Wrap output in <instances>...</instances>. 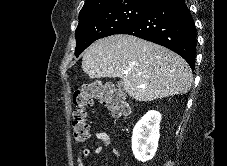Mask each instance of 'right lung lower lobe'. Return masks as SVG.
I'll return each mask as SVG.
<instances>
[{
    "label": "right lung lower lobe",
    "instance_id": "right-lung-lower-lobe-1",
    "mask_svg": "<svg viewBox=\"0 0 227 166\" xmlns=\"http://www.w3.org/2000/svg\"><path fill=\"white\" fill-rule=\"evenodd\" d=\"M118 34L162 45L195 67L196 29L184 0H160L142 18Z\"/></svg>",
    "mask_w": 227,
    "mask_h": 166
}]
</instances>
